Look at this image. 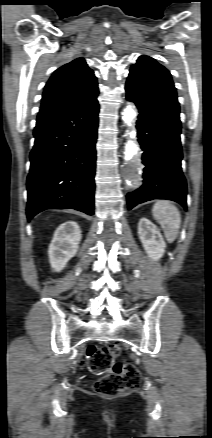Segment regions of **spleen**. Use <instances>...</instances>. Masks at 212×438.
Returning <instances> with one entry per match:
<instances>
[{
    "label": "spleen",
    "mask_w": 212,
    "mask_h": 438,
    "mask_svg": "<svg viewBox=\"0 0 212 438\" xmlns=\"http://www.w3.org/2000/svg\"><path fill=\"white\" fill-rule=\"evenodd\" d=\"M152 213L154 219L161 225L166 240L173 243L181 225L179 210L170 201L159 200L154 204Z\"/></svg>",
    "instance_id": "spleen-1"
}]
</instances>
